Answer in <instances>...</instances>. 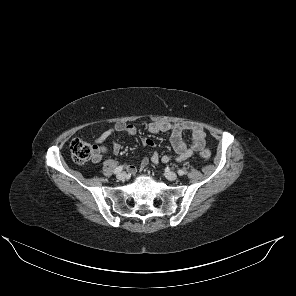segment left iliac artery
<instances>
[{"label":"left iliac artery","mask_w":296,"mask_h":296,"mask_svg":"<svg viewBox=\"0 0 296 296\" xmlns=\"http://www.w3.org/2000/svg\"><path fill=\"white\" fill-rule=\"evenodd\" d=\"M180 176H183L185 174V171L182 169H179L177 172Z\"/></svg>","instance_id":"left-iliac-artery-1"}]
</instances>
